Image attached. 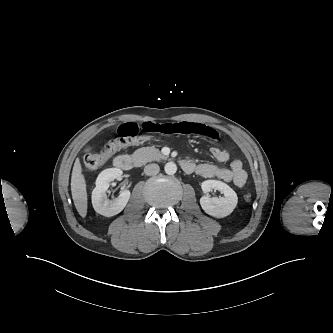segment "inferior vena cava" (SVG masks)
Wrapping results in <instances>:
<instances>
[{"label":"inferior vena cava","mask_w":333,"mask_h":333,"mask_svg":"<svg viewBox=\"0 0 333 333\" xmlns=\"http://www.w3.org/2000/svg\"><path fill=\"white\" fill-rule=\"evenodd\" d=\"M159 170H160V167L158 166V164H155V163L148 164L144 168V172L148 176H152V175L158 174Z\"/></svg>","instance_id":"inferior-vena-cava-1"}]
</instances>
